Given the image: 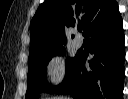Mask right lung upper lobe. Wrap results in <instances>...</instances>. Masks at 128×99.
Listing matches in <instances>:
<instances>
[{
	"mask_svg": "<svg viewBox=\"0 0 128 99\" xmlns=\"http://www.w3.org/2000/svg\"><path fill=\"white\" fill-rule=\"evenodd\" d=\"M115 0H46L36 11L30 24L29 58L46 53L66 44L64 25L71 27L79 18L85 34L102 17L109 13ZM73 37V36H72Z\"/></svg>",
	"mask_w": 128,
	"mask_h": 99,
	"instance_id": "right-lung-upper-lobe-1",
	"label": "right lung upper lobe"
}]
</instances>
